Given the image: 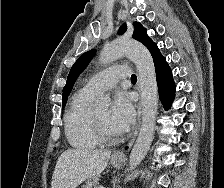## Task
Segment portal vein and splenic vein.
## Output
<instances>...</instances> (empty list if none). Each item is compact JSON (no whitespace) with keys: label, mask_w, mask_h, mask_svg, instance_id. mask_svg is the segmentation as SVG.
<instances>
[{"label":"portal vein and splenic vein","mask_w":224,"mask_h":188,"mask_svg":"<svg viewBox=\"0 0 224 188\" xmlns=\"http://www.w3.org/2000/svg\"><path fill=\"white\" fill-rule=\"evenodd\" d=\"M98 188H105V187H103V186H98Z\"/></svg>","instance_id":"obj_1"}]
</instances>
